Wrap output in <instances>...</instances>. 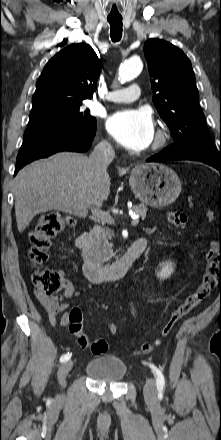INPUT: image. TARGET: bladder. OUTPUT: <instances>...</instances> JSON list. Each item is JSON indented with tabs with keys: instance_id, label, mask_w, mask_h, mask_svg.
<instances>
[{
	"instance_id": "obj_1",
	"label": "bladder",
	"mask_w": 221,
	"mask_h": 440,
	"mask_svg": "<svg viewBox=\"0 0 221 440\" xmlns=\"http://www.w3.org/2000/svg\"><path fill=\"white\" fill-rule=\"evenodd\" d=\"M85 371L92 379L115 383L125 377L127 366L118 356L102 355L88 361Z\"/></svg>"
}]
</instances>
